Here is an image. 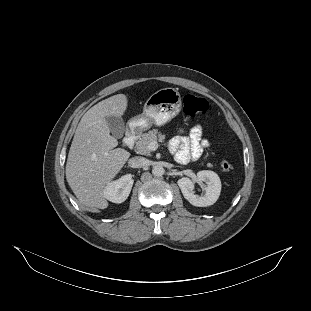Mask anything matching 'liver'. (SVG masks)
<instances>
[{
	"label": "liver",
	"instance_id": "liver-1",
	"mask_svg": "<svg viewBox=\"0 0 311 311\" xmlns=\"http://www.w3.org/2000/svg\"><path fill=\"white\" fill-rule=\"evenodd\" d=\"M129 106L126 94H116L91 107L81 118L68 153L65 174L78 201L89 211L107 209L105 189L131 153L117 148L107 118L122 119Z\"/></svg>",
	"mask_w": 311,
	"mask_h": 311
}]
</instances>
